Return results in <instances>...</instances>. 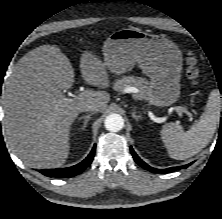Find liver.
<instances>
[{
    "label": "liver",
    "mask_w": 222,
    "mask_h": 219,
    "mask_svg": "<svg viewBox=\"0 0 222 219\" xmlns=\"http://www.w3.org/2000/svg\"><path fill=\"white\" fill-rule=\"evenodd\" d=\"M106 64L89 51L80 58L83 80L92 86L110 84ZM75 81L70 60L56 45H42L15 65L4 93V129L17 157L36 169L56 168L68 158L71 125L91 102L107 108L110 95L96 92L84 98H65L62 89Z\"/></svg>",
    "instance_id": "obj_1"
}]
</instances>
